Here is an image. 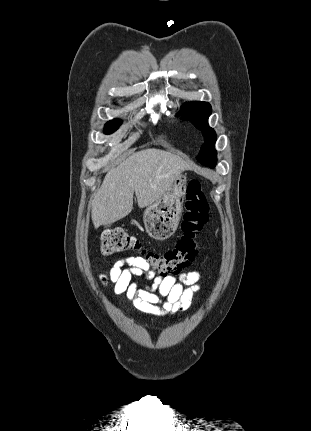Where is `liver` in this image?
Segmentation results:
<instances>
[{
	"instance_id": "liver-1",
	"label": "liver",
	"mask_w": 311,
	"mask_h": 431,
	"mask_svg": "<svg viewBox=\"0 0 311 431\" xmlns=\"http://www.w3.org/2000/svg\"><path fill=\"white\" fill-rule=\"evenodd\" d=\"M185 170H191L189 164L171 152L148 148L131 154L110 168L94 196L91 217L95 229L128 216L134 194L139 208L152 206Z\"/></svg>"
}]
</instances>
